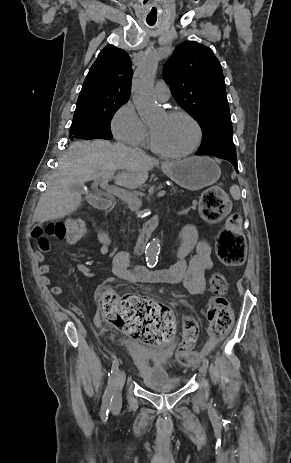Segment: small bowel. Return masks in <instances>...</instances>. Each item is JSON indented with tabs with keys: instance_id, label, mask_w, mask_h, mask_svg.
I'll list each match as a JSON object with an SVG mask.
<instances>
[{
	"instance_id": "1",
	"label": "small bowel",
	"mask_w": 291,
	"mask_h": 463,
	"mask_svg": "<svg viewBox=\"0 0 291 463\" xmlns=\"http://www.w3.org/2000/svg\"><path fill=\"white\" fill-rule=\"evenodd\" d=\"M38 252L36 254L37 261L41 264L39 273L43 284L49 285L51 279L48 276L50 266L43 263L46 255L51 249L49 239L44 235H34ZM97 239L100 245V252L108 256L110 255L109 243L110 238L104 231H99ZM76 240H67L68 243H74ZM175 256L178 258L172 267L168 269L145 272L144 266H130V256L127 252L120 251L113 256V275L106 279L102 287L114 284L117 280H126L129 282H146V283H167L178 284L182 283L188 293L191 295H202L207 290V281L205 274L213 267L211 259V247L207 241L198 238L197 229L193 225H186L180 233V243L175 249ZM78 270L85 276H93L88 266L82 263L77 264ZM101 287V288H102ZM51 293L56 296H63L65 290L61 286H52ZM71 310L79 316L85 312V307L76 303L70 304ZM94 323L100 325L101 321L96 314Z\"/></svg>"
}]
</instances>
